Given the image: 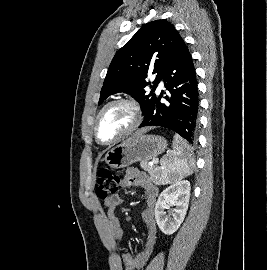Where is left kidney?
<instances>
[{
	"instance_id": "obj_1",
	"label": "left kidney",
	"mask_w": 267,
	"mask_h": 270,
	"mask_svg": "<svg viewBox=\"0 0 267 270\" xmlns=\"http://www.w3.org/2000/svg\"><path fill=\"white\" fill-rule=\"evenodd\" d=\"M190 199V183L187 180L176 181L164 189L158 197L155 206V219L160 230L171 235L177 231L183 222ZM174 206L172 218L166 216L164 209Z\"/></svg>"
}]
</instances>
